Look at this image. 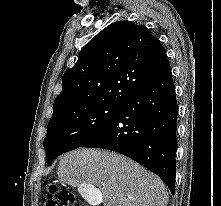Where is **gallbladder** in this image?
<instances>
[{
  "mask_svg": "<svg viewBox=\"0 0 221 206\" xmlns=\"http://www.w3.org/2000/svg\"><path fill=\"white\" fill-rule=\"evenodd\" d=\"M80 194H83L87 205L100 206L104 202V193H99L95 185H80Z\"/></svg>",
  "mask_w": 221,
  "mask_h": 206,
  "instance_id": "1",
  "label": "gallbladder"
}]
</instances>
